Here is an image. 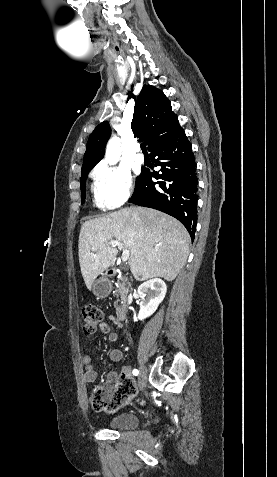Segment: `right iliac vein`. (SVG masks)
Returning a JSON list of instances; mask_svg holds the SVG:
<instances>
[{
  "instance_id": "obj_1",
  "label": "right iliac vein",
  "mask_w": 277,
  "mask_h": 477,
  "mask_svg": "<svg viewBox=\"0 0 277 477\" xmlns=\"http://www.w3.org/2000/svg\"><path fill=\"white\" fill-rule=\"evenodd\" d=\"M147 382V369L145 366L140 367V373H139V388L140 390H143L144 387L146 386Z\"/></svg>"
}]
</instances>
